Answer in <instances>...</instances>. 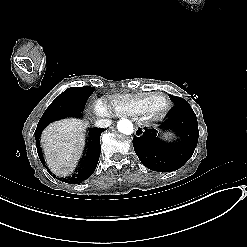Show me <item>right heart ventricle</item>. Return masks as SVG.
I'll list each match as a JSON object with an SVG mask.
<instances>
[{
  "label": "right heart ventricle",
  "mask_w": 247,
  "mask_h": 247,
  "mask_svg": "<svg viewBox=\"0 0 247 247\" xmlns=\"http://www.w3.org/2000/svg\"><path fill=\"white\" fill-rule=\"evenodd\" d=\"M151 95L152 93L108 95L100 103L106 116H130L144 111Z\"/></svg>",
  "instance_id": "right-heart-ventricle-1"
}]
</instances>
